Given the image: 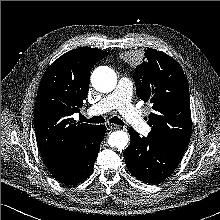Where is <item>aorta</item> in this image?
Returning <instances> with one entry per match:
<instances>
[{
	"mask_svg": "<svg viewBox=\"0 0 220 220\" xmlns=\"http://www.w3.org/2000/svg\"><path fill=\"white\" fill-rule=\"evenodd\" d=\"M93 87L102 93H108L115 89L117 76L114 70L109 67L101 66L94 70L91 76ZM129 136L126 132L119 130L111 133L108 143L111 147L122 150L127 147Z\"/></svg>",
	"mask_w": 220,
	"mask_h": 220,
	"instance_id": "1",
	"label": "aorta"
}]
</instances>
